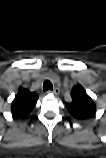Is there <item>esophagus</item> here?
I'll list each match as a JSON object with an SVG mask.
<instances>
[{
    "label": "esophagus",
    "mask_w": 106,
    "mask_h": 158,
    "mask_svg": "<svg viewBox=\"0 0 106 158\" xmlns=\"http://www.w3.org/2000/svg\"><path fill=\"white\" fill-rule=\"evenodd\" d=\"M48 93H52L58 96L60 94V89L58 87H55L52 91L49 90Z\"/></svg>",
    "instance_id": "esophagus-1"
}]
</instances>
